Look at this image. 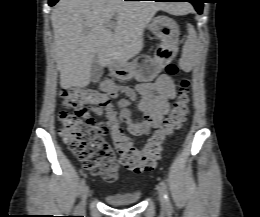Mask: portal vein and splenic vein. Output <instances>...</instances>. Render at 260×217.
<instances>
[{"mask_svg": "<svg viewBox=\"0 0 260 217\" xmlns=\"http://www.w3.org/2000/svg\"><path fill=\"white\" fill-rule=\"evenodd\" d=\"M105 26L108 28H113V27H115V23L110 21V22L106 23Z\"/></svg>", "mask_w": 260, "mask_h": 217, "instance_id": "obj_1", "label": "portal vein and splenic vein"}]
</instances>
